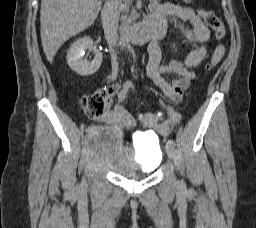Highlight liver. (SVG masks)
Returning <instances> with one entry per match:
<instances>
[{
	"label": "liver",
	"instance_id": "1",
	"mask_svg": "<svg viewBox=\"0 0 256 228\" xmlns=\"http://www.w3.org/2000/svg\"><path fill=\"white\" fill-rule=\"evenodd\" d=\"M101 5L100 0H41V42L50 63L65 41L91 26Z\"/></svg>",
	"mask_w": 256,
	"mask_h": 228
}]
</instances>
